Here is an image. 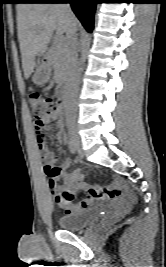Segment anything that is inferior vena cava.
I'll return each instance as SVG.
<instances>
[{"instance_id":"obj_1","label":"inferior vena cava","mask_w":166,"mask_h":267,"mask_svg":"<svg viewBox=\"0 0 166 267\" xmlns=\"http://www.w3.org/2000/svg\"><path fill=\"white\" fill-rule=\"evenodd\" d=\"M62 9L66 13L68 30L66 33L68 39V65H69V86L72 90L71 100L74 99V94L77 91L78 86V76H79V67H78V45L76 32L77 28L73 24V13L69 3H62Z\"/></svg>"}]
</instances>
